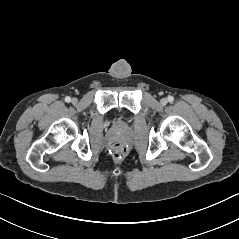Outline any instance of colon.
Instances as JSON below:
<instances>
[{"instance_id":"1","label":"colon","mask_w":239,"mask_h":239,"mask_svg":"<svg viewBox=\"0 0 239 239\" xmlns=\"http://www.w3.org/2000/svg\"><path fill=\"white\" fill-rule=\"evenodd\" d=\"M126 146L121 142H116L113 145V154L117 158H122L126 154Z\"/></svg>"}]
</instances>
